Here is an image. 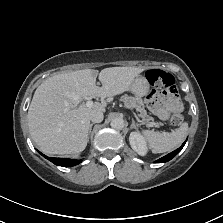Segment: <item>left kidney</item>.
I'll return each mask as SVG.
<instances>
[{
    "mask_svg": "<svg viewBox=\"0 0 223 223\" xmlns=\"http://www.w3.org/2000/svg\"><path fill=\"white\" fill-rule=\"evenodd\" d=\"M131 148L139 155L147 154L148 148L144 137L139 132H131L129 136Z\"/></svg>",
    "mask_w": 223,
    "mask_h": 223,
    "instance_id": "obj_1",
    "label": "left kidney"
}]
</instances>
